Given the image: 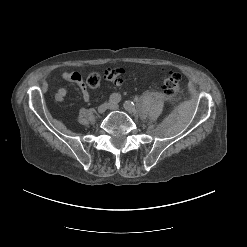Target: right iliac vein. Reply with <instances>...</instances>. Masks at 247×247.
<instances>
[{
  "label": "right iliac vein",
  "mask_w": 247,
  "mask_h": 247,
  "mask_svg": "<svg viewBox=\"0 0 247 247\" xmlns=\"http://www.w3.org/2000/svg\"><path fill=\"white\" fill-rule=\"evenodd\" d=\"M108 107H109V103H103L100 106H98L97 111L98 113L102 114L107 110Z\"/></svg>",
  "instance_id": "63e3f726"
}]
</instances>
